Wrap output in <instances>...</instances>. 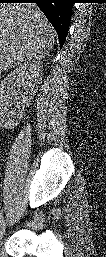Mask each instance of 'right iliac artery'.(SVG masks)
I'll use <instances>...</instances> for the list:
<instances>
[{"label": "right iliac artery", "instance_id": "1", "mask_svg": "<svg viewBox=\"0 0 106 257\" xmlns=\"http://www.w3.org/2000/svg\"><path fill=\"white\" fill-rule=\"evenodd\" d=\"M3 219H4V217H3V213H2V211H1V213H0V223H1V224L3 223Z\"/></svg>", "mask_w": 106, "mask_h": 257}]
</instances>
